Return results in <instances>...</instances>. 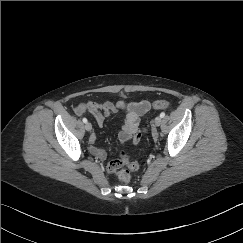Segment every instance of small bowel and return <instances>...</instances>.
I'll return each instance as SVG.
<instances>
[{"label":"small bowel","mask_w":243,"mask_h":243,"mask_svg":"<svg viewBox=\"0 0 243 243\" xmlns=\"http://www.w3.org/2000/svg\"><path fill=\"white\" fill-rule=\"evenodd\" d=\"M150 108V102L147 100L131 103H126L124 101H105L103 103L88 101L79 103L76 106V112L78 115L93 114L98 125L102 126L105 117L122 111L124 113V123L118 130L119 141L122 145L127 142L137 145L142 135L140 129V117L146 114ZM96 141V135H91L89 137V142L91 144H94ZM90 153L99 160H104L106 156L102 149L94 146L90 147ZM119 167V163L109 162L107 164V172L113 175Z\"/></svg>","instance_id":"obj_1"}]
</instances>
